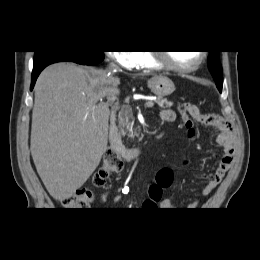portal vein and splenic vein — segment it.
Segmentation results:
<instances>
[{
	"mask_svg": "<svg viewBox=\"0 0 260 260\" xmlns=\"http://www.w3.org/2000/svg\"><path fill=\"white\" fill-rule=\"evenodd\" d=\"M118 93H119V91L117 89L112 90V91L109 92V94H112V95H115V94H118ZM153 106H154V102L153 101H147L145 103V107L151 108Z\"/></svg>",
	"mask_w": 260,
	"mask_h": 260,
	"instance_id": "portal-vein-and-splenic-vein-1",
	"label": "portal vein and splenic vein"
}]
</instances>
